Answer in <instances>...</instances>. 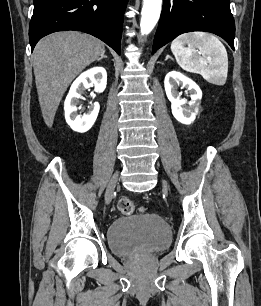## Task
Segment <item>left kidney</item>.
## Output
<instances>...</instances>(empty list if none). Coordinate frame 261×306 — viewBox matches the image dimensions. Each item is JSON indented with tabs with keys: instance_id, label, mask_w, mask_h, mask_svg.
<instances>
[{
	"instance_id": "1",
	"label": "left kidney",
	"mask_w": 261,
	"mask_h": 306,
	"mask_svg": "<svg viewBox=\"0 0 261 306\" xmlns=\"http://www.w3.org/2000/svg\"><path fill=\"white\" fill-rule=\"evenodd\" d=\"M179 85L187 87L191 94V101L188 103L189 107L185 106L186 100L180 99ZM164 87L166 95L171 102L172 114L175 119L186 125L193 123L199 113L202 98V91L199 86L183 74L172 71L166 75Z\"/></svg>"
}]
</instances>
